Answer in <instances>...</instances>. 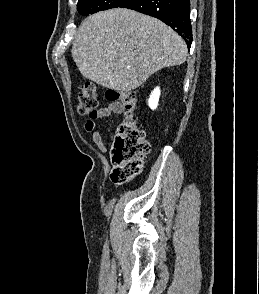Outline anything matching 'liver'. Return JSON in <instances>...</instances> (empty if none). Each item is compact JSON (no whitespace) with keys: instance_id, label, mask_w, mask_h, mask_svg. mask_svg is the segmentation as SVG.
Returning <instances> with one entry per match:
<instances>
[{"instance_id":"6515ba94","label":"liver","mask_w":259,"mask_h":294,"mask_svg":"<svg viewBox=\"0 0 259 294\" xmlns=\"http://www.w3.org/2000/svg\"><path fill=\"white\" fill-rule=\"evenodd\" d=\"M71 53L86 79L112 90L131 91L156 71L184 63L188 50L162 21L115 8L81 23Z\"/></svg>"}]
</instances>
